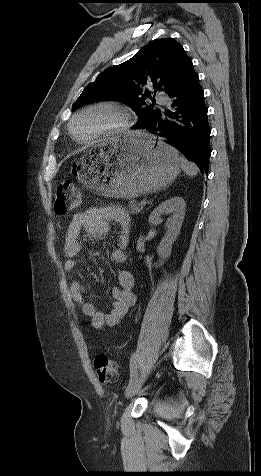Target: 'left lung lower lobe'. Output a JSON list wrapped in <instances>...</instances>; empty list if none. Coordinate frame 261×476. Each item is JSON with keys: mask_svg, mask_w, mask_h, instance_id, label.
Segmentation results:
<instances>
[{"mask_svg": "<svg viewBox=\"0 0 261 476\" xmlns=\"http://www.w3.org/2000/svg\"><path fill=\"white\" fill-rule=\"evenodd\" d=\"M203 94L192 65L182 83L169 94L170 107L140 129L154 130V134L208 175L211 129Z\"/></svg>", "mask_w": 261, "mask_h": 476, "instance_id": "left-lung-lower-lobe-1", "label": "left lung lower lobe"}]
</instances>
